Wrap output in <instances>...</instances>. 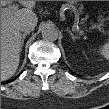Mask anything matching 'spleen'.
I'll use <instances>...</instances> for the list:
<instances>
[{
  "label": "spleen",
  "mask_w": 109,
  "mask_h": 109,
  "mask_svg": "<svg viewBox=\"0 0 109 109\" xmlns=\"http://www.w3.org/2000/svg\"><path fill=\"white\" fill-rule=\"evenodd\" d=\"M101 54L105 57V58H108L109 56V45L108 44H105L103 46V48L101 49Z\"/></svg>",
  "instance_id": "spleen-1"
}]
</instances>
